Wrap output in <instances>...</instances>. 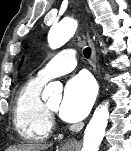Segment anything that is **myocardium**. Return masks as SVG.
Here are the masks:
<instances>
[{
    "label": "myocardium",
    "mask_w": 131,
    "mask_h": 151,
    "mask_svg": "<svg viewBox=\"0 0 131 151\" xmlns=\"http://www.w3.org/2000/svg\"><path fill=\"white\" fill-rule=\"evenodd\" d=\"M46 108L51 119H53L55 117L56 110L52 109L48 104L46 105Z\"/></svg>",
    "instance_id": "myocardium-1"
}]
</instances>
